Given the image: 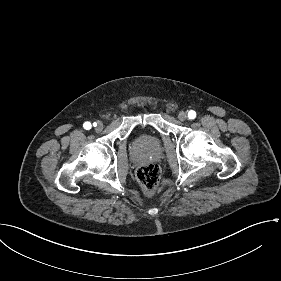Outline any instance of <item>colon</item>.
<instances>
[{"mask_svg": "<svg viewBox=\"0 0 281 281\" xmlns=\"http://www.w3.org/2000/svg\"><path fill=\"white\" fill-rule=\"evenodd\" d=\"M136 177L141 187L147 191H153L160 179V169L155 163H148L140 166L136 172Z\"/></svg>", "mask_w": 281, "mask_h": 281, "instance_id": "colon-1", "label": "colon"}]
</instances>
